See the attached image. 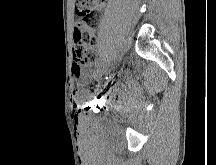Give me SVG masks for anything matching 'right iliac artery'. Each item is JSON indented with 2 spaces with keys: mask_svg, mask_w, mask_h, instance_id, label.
Instances as JSON below:
<instances>
[{
  "mask_svg": "<svg viewBox=\"0 0 216 165\" xmlns=\"http://www.w3.org/2000/svg\"><path fill=\"white\" fill-rule=\"evenodd\" d=\"M109 56H103V59L99 62V64L96 66L98 69L104 66L105 64H109L111 61L109 60Z\"/></svg>",
  "mask_w": 216,
  "mask_h": 165,
  "instance_id": "obj_1",
  "label": "right iliac artery"
}]
</instances>
